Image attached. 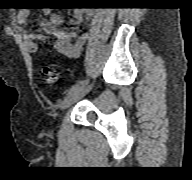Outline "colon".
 Returning <instances> with one entry per match:
<instances>
[{"label": "colon", "instance_id": "obj_1", "mask_svg": "<svg viewBox=\"0 0 192 180\" xmlns=\"http://www.w3.org/2000/svg\"><path fill=\"white\" fill-rule=\"evenodd\" d=\"M43 80L47 85H54L59 80V74L51 66H44L42 69Z\"/></svg>", "mask_w": 192, "mask_h": 180}]
</instances>
